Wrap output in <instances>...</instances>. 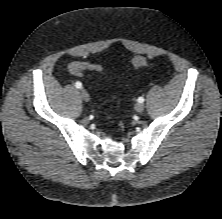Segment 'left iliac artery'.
Wrapping results in <instances>:
<instances>
[{
	"label": "left iliac artery",
	"instance_id": "1",
	"mask_svg": "<svg viewBox=\"0 0 222 219\" xmlns=\"http://www.w3.org/2000/svg\"><path fill=\"white\" fill-rule=\"evenodd\" d=\"M138 102H139V103H143V102H144V98H143V97H139V98H138Z\"/></svg>",
	"mask_w": 222,
	"mask_h": 219
}]
</instances>
